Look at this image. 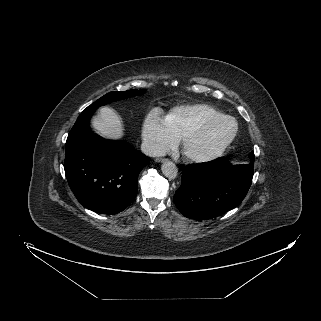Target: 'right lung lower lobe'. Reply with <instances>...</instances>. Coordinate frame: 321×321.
Segmentation results:
<instances>
[{
	"label": "right lung lower lobe",
	"instance_id": "98d812e1",
	"mask_svg": "<svg viewBox=\"0 0 321 321\" xmlns=\"http://www.w3.org/2000/svg\"><path fill=\"white\" fill-rule=\"evenodd\" d=\"M92 115L82 112L67 137L65 174L85 208L116 214L135 199L138 175L150 158L124 141L105 140L92 133Z\"/></svg>",
	"mask_w": 321,
	"mask_h": 321
}]
</instances>
